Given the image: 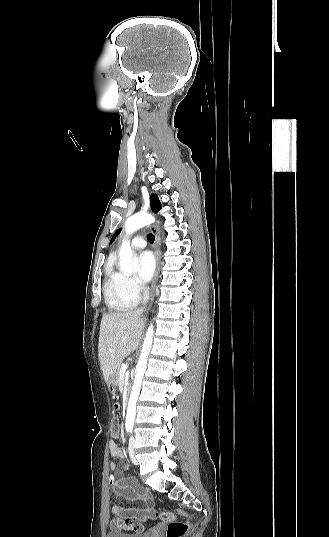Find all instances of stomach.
<instances>
[{
	"mask_svg": "<svg viewBox=\"0 0 329 537\" xmlns=\"http://www.w3.org/2000/svg\"><path fill=\"white\" fill-rule=\"evenodd\" d=\"M107 383H108L109 388H114V386L116 384L115 383V373L110 376V378H109Z\"/></svg>",
	"mask_w": 329,
	"mask_h": 537,
	"instance_id": "stomach-1",
	"label": "stomach"
}]
</instances>
